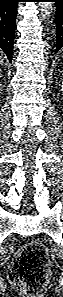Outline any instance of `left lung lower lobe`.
I'll return each mask as SVG.
<instances>
[{
    "mask_svg": "<svg viewBox=\"0 0 63 297\" xmlns=\"http://www.w3.org/2000/svg\"><path fill=\"white\" fill-rule=\"evenodd\" d=\"M56 6V50L63 48V0H50Z\"/></svg>",
    "mask_w": 63,
    "mask_h": 297,
    "instance_id": "obj_1",
    "label": "left lung lower lobe"
}]
</instances>
